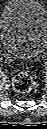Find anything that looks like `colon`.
Masks as SVG:
<instances>
[{"instance_id": "colon-1", "label": "colon", "mask_w": 47, "mask_h": 129, "mask_svg": "<svg viewBox=\"0 0 47 129\" xmlns=\"http://www.w3.org/2000/svg\"><path fill=\"white\" fill-rule=\"evenodd\" d=\"M34 85V80L32 75L28 71L19 72L12 81L13 89L18 93L29 92Z\"/></svg>"}]
</instances>
